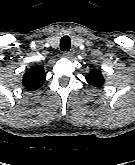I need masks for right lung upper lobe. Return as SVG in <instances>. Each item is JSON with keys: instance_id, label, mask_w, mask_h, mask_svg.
<instances>
[{"instance_id": "cb5924a9", "label": "right lung upper lobe", "mask_w": 135, "mask_h": 165, "mask_svg": "<svg viewBox=\"0 0 135 165\" xmlns=\"http://www.w3.org/2000/svg\"><path fill=\"white\" fill-rule=\"evenodd\" d=\"M45 78L44 68L42 66H34L25 71L22 85L28 90H37L43 85Z\"/></svg>"}]
</instances>
